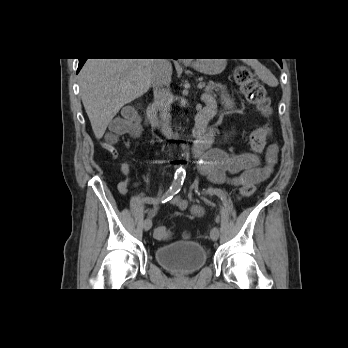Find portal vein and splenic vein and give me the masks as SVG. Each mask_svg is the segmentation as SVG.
I'll return each mask as SVG.
<instances>
[{
	"label": "portal vein and splenic vein",
	"mask_w": 348,
	"mask_h": 348,
	"mask_svg": "<svg viewBox=\"0 0 348 348\" xmlns=\"http://www.w3.org/2000/svg\"><path fill=\"white\" fill-rule=\"evenodd\" d=\"M203 87H205V83H199V84H198V88H199V89H202Z\"/></svg>",
	"instance_id": "portal-vein-and-splenic-vein-1"
}]
</instances>
